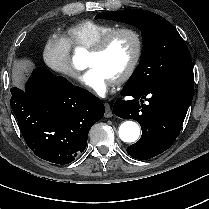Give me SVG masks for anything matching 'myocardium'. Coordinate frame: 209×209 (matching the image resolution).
<instances>
[{
  "mask_svg": "<svg viewBox=\"0 0 209 209\" xmlns=\"http://www.w3.org/2000/svg\"><path fill=\"white\" fill-rule=\"evenodd\" d=\"M121 33L130 34L136 43L135 53L130 61L129 65L125 69V71L121 74V76L116 80V84H123L127 82L131 76L134 74L144 51V41L142 35L138 30L133 27H116L107 34H105L98 42H96L90 49L89 53L94 55H100L106 51L108 46L110 45L113 38Z\"/></svg>",
  "mask_w": 209,
  "mask_h": 209,
  "instance_id": "myocardium-1",
  "label": "myocardium"
}]
</instances>
